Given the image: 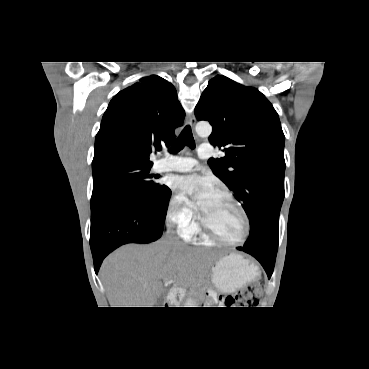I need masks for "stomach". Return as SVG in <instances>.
Listing matches in <instances>:
<instances>
[{
    "label": "stomach",
    "mask_w": 369,
    "mask_h": 369,
    "mask_svg": "<svg viewBox=\"0 0 369 369\" xmlns=\"http://www.w3.org/2000/svg\"><path fill=\"white\" fill-rule=\"evenodd\" d=\"M257 268L237 254L221 258L212 268V281L222 293H232L255 278Z\"/></svg>",
    "instance_id": "1"
}]
</instances>
